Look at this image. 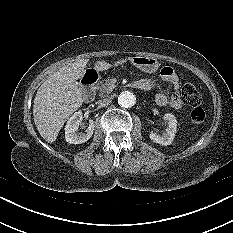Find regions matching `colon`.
I'll return each instance as SVG.
<instances>
[{
	"label": "colon",
	"mask_w": 233,
	"mask_h": 233,
	"mask_svg": "<svg viewBox=\"0 0 233 233\" xmlns=\"http://www.w3.org/2000/svg\"><path fill=\"white\" fill-rule=\"evenodd\" d=\"M184 101L192 107L191 120L195 125H201L205 121V112L200 107L201 95L191 81H185L181 90Z\"/></svg>",
	"instance_id": "5ec220e1"
}]
</instances>
